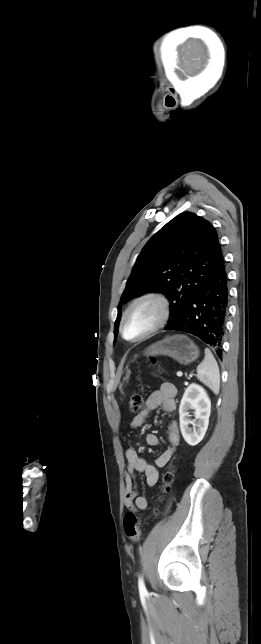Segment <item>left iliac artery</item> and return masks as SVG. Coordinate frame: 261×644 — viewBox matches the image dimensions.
<instances>
[{"mask_svg":"<svg viewBox=\"0 0 261 644\" xmlns=\"http://www.w3.org/2000/svg\"><path fill=\"white\" fill-rule=\"evenodd\" d=\"M138 587H139V592H140L141 594H145V593H147V590H146V587H145V584H144V581H143V578H142V577H139V580H138Z\"/></svg>","mask_w":261,"mask_h":644,"instance_id":"left-iliac-artery-1","label":"left iliac artery"}]
</instances>
